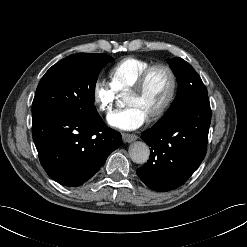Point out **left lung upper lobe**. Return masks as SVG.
I'll return each instance as SVG.
<instances>
[{"label": "left lung upper lobe", "instance_id": "left-lung-upper-lobe-1", "mask_svg": "<svg viewBox=\"0 0 247 247\" xmlns=\"http://www.w3.org/2000/svg\"><path fill=\"white\" fill-rule=\"evenodd\" d=\"M169 65L178 78L179 87L177 96L167 113H174L181 110L200 95H208L201 78L185 60L182 58H173L169 61Z\"/></svg>", "mask_w": 247, "mask_h": 247}]
</instances>
